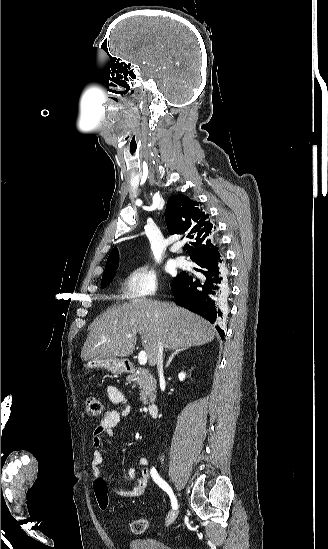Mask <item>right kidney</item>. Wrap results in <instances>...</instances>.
Segmentation results:
<instances>
[{
	"instance_id": "obj_1",
	"label": "right kidney",
	"mask_w": 328,
	"mask_h": 549,
	"mask_svg": "<svg viewBox=\"0 0 328 549\" xmlns=\"http://www.w3.org/2000/svg\"><path fill=\"white\" fill-rule=\"evenodd\" d=\"M178 377L180 381H183V379H185V373H179Z\"/></svg>"
}]
</instances>
